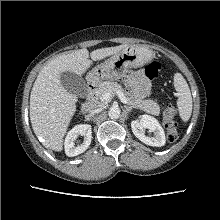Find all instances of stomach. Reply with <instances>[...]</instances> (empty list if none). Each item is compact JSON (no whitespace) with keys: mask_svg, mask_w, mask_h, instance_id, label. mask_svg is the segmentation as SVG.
I'll return each mask as SVG.
<instances>
[{"mask_svg":"<svg viewBox=\"0 0 220 220\" xmlns=\"http://www.w3.org/2000/svg\"><path fill=\"white\" fill-rule=\"evenodd\" d=\"M153 58V52L141 46L130 45L113 54L107 61L89 71L87 81L94 87L102 81H116L125 76L128 68L142 67Z\"/></svg>","mask_w":220,"mask_h":220,"instance_id":"stomach-1","label":"stomach"}]
</instances>
